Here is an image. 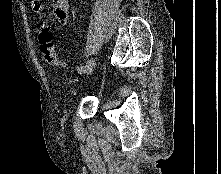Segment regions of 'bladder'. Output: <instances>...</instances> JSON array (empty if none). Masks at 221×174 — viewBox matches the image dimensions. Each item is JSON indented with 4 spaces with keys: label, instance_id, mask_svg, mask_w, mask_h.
Instances as JSON below:
<instances>
[{
    "label": "bladder",
    "instance_id": "bladder-1",
    "mask_svg": "<svg viewBox=\"0 0 221 174\" xmlns=\"http://www.w3.org/2000/svg\"><path fill=\"white\" fill-rule=\"evenodd\" d=\"M68 93L70 96L75 97L78 94V89L75 86H70L68 89Z\"/></svg>",
    "mask_w": 221,
    "mask_h": 174
}]
</instances>
